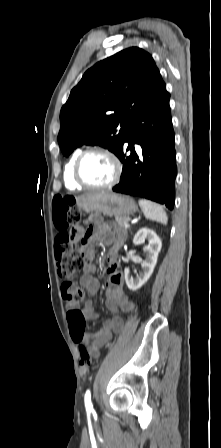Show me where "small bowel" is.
I'll use <instances>...</instances> for the list:
<instances>
[{"mask_svg":"<svg viewBox=\"0 0 221 448\" xmlns=\"http://www.w3.org/2000/svg\"><path fill=\"white\" fill-rule=\"evenodd\" d=\"M91 221L93 222V225L89 229L90 235L88 241L84 245V249L87 251L88 260L92 259V249L96 243L100 242L109 247V279L106 286L105 305L112 313H117L119 310H122L128 314H132L135 310V304L124 291L123 278L118 270L116 260L117 254L122 247L125 238L121 233H112L109 225L101 218L93 217ZM74 231L80 235L84 233L82 227H77ZM94 272L95 266L88 264L80 279V283L88 290L90 295H94L99 288L98 282L93 276ZM78 311L84 318H97L91 300L87 301L84 307L78 309ZM122 326V319L118 316H114L112 319L106 320L103 323L102 328L98 333L85 335L83 342L87 345L92 357L97 358L99 356L100 349L111 342L113 335L118 333L122 329Z\"/></svg>","mask_w":221,"mask_h":448,"instance_id":"c3829d8e","label":"small bowel"}]
</instances>
